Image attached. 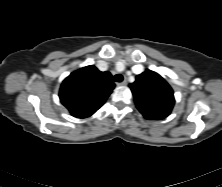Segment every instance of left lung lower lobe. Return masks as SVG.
I'll list each match as a JSON object with an SVG mask.
<instances>
[{
  "mask_svg": "<svg viewBox=\"0 0 222 187\" xmlns=\"http://www.w3.org/2000/svg\"><path fill=\"white\" fill-rule=\"evenodd\" d=\"M146 119H149V120H160V119H163L162 117H159V116H144Z\"/></svg>",
  "mask_w": 222,
  "mask_h": 187,
  "instance_id": "obj_1",
  "label": "left lung lower lobe"
}]
</instances>
